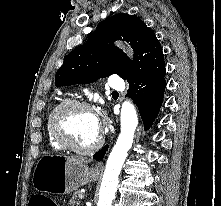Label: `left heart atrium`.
Returning a JSON list of instances; mask_svg holds the SVG:
<instances>
[{
  "instance_id": "1",
  "label": "left heart atrium",
  "mask_w": 221,
  "mask_h": 206,
  "mask_svg": "<svg viewBox=\"0 0 221 206\" xmlns=\"http://www.w3.org/2000/svg\"><path fill=\"white\" fill-rule=\"evenodd\" d=\"M96 121H97L98 128L100 130V128L103 126V121H101L98 117H96Z\"/></svg>"
}]
</instances>
